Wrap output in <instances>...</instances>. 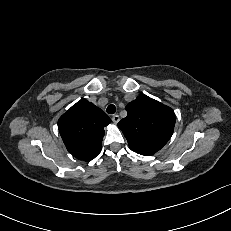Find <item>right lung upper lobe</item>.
Segmentation results:
<instances>
[{
  "label": "right lung upper lobe",
  "mask_w": 231,
  "mask_h": 231,
  "mask_svg": "<svg viewBox=\"0 0 231 231\" xmlns=\"http://www.w3.org/2000/svg\"><path fill=\"white\" fill-rule=\"evenodd\" d=\"M111 122L103 110L83 99L58 120L67 150L79 160H91L101 151L104 127Z\"/></svg>",
  "instance_id": "right-lung-upper-lobe-1"
}]
</instances>
